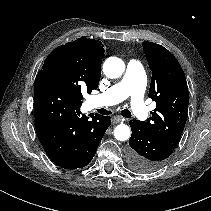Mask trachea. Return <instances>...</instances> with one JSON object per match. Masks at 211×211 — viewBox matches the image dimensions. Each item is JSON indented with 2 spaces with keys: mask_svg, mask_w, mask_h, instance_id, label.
I'll return each instance as SVG.
<instances>
[{
  "mask_svg": "<svg viewBox=\"0 0 211 211\" xmlns=\"http://www.w3.org/2000/svg\"><path fill=\"white\" fill-rule=\"evenodd\" d=\"M110 113L111 112H108V111L105 110L104 115H108ZM121 115L123 117H125V118H130L131 117V112L128 109H124V110L121 111Z\"/></svg>",
  "mask_w": 211,
  "mask_h": 211,
  "instance_id": "trachea-1",
  "label": "trachea"
}]
</instances>
